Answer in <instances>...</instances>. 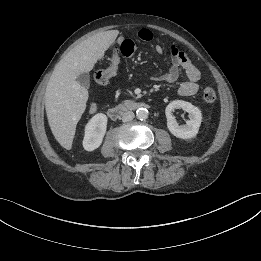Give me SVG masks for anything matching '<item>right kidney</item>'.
Listing matches in <instances>:
<instances>
[{
  "label": "right kidney",
  "instance_id": "1",
  "mask_svg": "<svg viewBox=\"0 0 261 261\" xmlns=\"http://www.w3.org/2000/svg\"><path fill=\"white\" fill-rule=\"evenodd\" d=\"M108 118L103 113L94 115L86 124L83 147L86 151H93L97 149L106 133Z\"/></svg>",
  "mask_w": 261,
  "mask_h": 261
}]
</instances>
